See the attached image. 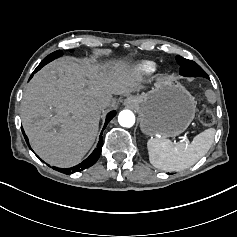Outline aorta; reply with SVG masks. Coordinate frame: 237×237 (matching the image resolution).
<instances>
[{
  "instance_id": "aorta-1",
  "label": "aorta",
  "mask_w": 237,
  "mask_h": 237,
  "mask_svg": "<svg viewBox=\"0 0 237 237\" xmlns=\"http://www.w3.org/2000/svg\"><path fill=\"white\" fill-rule=\"evenodd\" d=\"M120 126L130 128L135 124V115L130 110L121 111L118 116Z\"/></svg>"
}]
</instances>
